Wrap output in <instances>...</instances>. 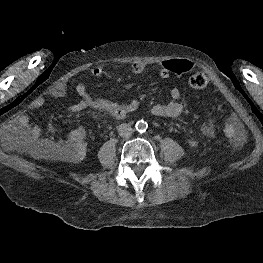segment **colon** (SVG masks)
Segmentation results:
<instances>
[{"instance_id":"5ec220e1","label":"colon","mask_w":263,"mask_h":263,"mask_svg":"<svg viewBox=\"0 0 263 263\" xmlns=\"http://www.w3.org/2000/svg\"><path fill=\"white\" fill-rule=\"evenodd\" d=\"M166 63L173 73L180 75L187 72V66L183 59H172L166 61ZM189 84L195 89H202L209 84V78L205 73L197 72L190 77ZM209 131L207 124H204L202 127L203 134L207 135ZM224 132L229 142L235 146H240L244 143V131L236 122L229 120L225 125ZM83 153V144L72 141H67L63 146L53 149V154L69 158H79Z\"/></svg>"}]
</instances>
